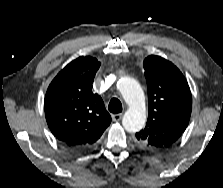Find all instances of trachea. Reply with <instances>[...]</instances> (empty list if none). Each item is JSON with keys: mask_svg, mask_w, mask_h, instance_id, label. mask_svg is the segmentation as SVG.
Instances as JSON below:
<instances>
[{"mask_svg": "<svg viewBox=\"0 0 223 188\" xmlns=\"http://www.w3.org/2000/svg\"><path fill=\"white\" fill-rule=\"evenodd\" d=\"M108 110L114 114L122 112V104L120 100L117 98L111 99L108 105Z\"/></svg>", "mask_w": 223, "mask_h": 188, "instance_id": "trachea-1", "label": "trachea"}]
</instances>
